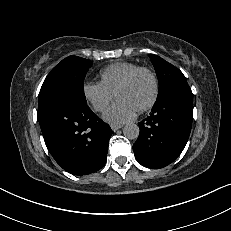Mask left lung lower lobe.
I'll return each instance as SVG.
<instances>
[{
    "instance_id": "1",
    "label": "left lung lower lobe",
    "mask_w": 231,
    "mask_h": 231,
    "mask_svg": "<svg viewBox=\"0 0 231 231\" xmlns=\"http://www.w3.org/2000/svg\"><path fill=\"white\" fill-rule=\"evenodd\" d=\"M152 113L139 122L133 144L137 161L158 169L172 163L184 149L192 126L193 98L187 83L177 84L158 96Z\"/></svg>"
}]
</instances>
